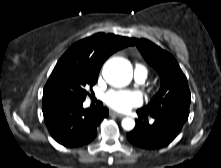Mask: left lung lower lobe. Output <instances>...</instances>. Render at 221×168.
<instances>
[{"label":"left lung lower lobe","mask_w":221,"mask_h":168,"mask_svg":"<svg viewBox=\"0 0 221 168\" xmlns=\"http://www.w3.org/2000/svg\"><path fill=\"white\" fill-rule=\"evenodd\" d=\"M139 119L135 128L127 133L128 140L143 149H159L170 144L180 133L187 118L178 115H150L137 110ZM148 117L154 122L149 124Z\"/></svg>","instance_id":"left-lung-lower-lobe-1"}]
</instances>
